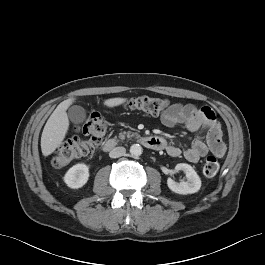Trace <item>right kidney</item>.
Instances as JSON below:
<instances>
[{
	"label": "right kidney",
	"mask_w": 265,
	"mask_h": 265,
	"mask_svg": "<svg viewBox=\"0 0 265 265\" xmlns=\"http://www.w3.org/2000/svg\"><path fill=\"white\" fill-rule=\"evenodd\" d=\"M89 178V168L86 164L78 163L72 166L64 176L68 187L78 189L84 186Z\"/></svg>",
	"instance_id": "ca27d5eb"
}]
</instances>
